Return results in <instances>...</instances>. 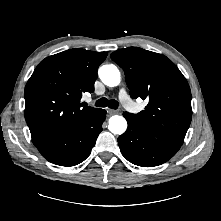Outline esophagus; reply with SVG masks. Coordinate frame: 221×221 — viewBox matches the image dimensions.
<instances>
[{
  "instance_id": "1",
  "label": "esophagus",
  "mask_w": 221,
  "mask_h": 221,
  "mask_svg": "<svg viewBox=\"0 0 221 221\" xmlns=\"http://www.w3.org/2000/svg\"><path fill=\"white\" fill-rule=\"evenodd\" d=\"M107 111H108V113H109L110 115H114V114H118V113H119L118 110H113V109H107Z\"/></svg>"
}]
</instances>
